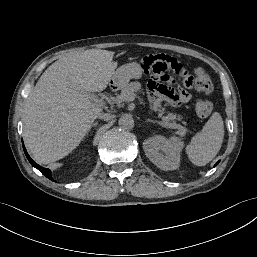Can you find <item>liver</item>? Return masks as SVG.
<instances>
[{
	"mask_svg": "<svg viewBox=\"0 0 257 257\" xmlns=\"http://www.w3.org/2000/svg\"><path fill=\"white\" fill-rule=\"evenodd\" d=\"M114 52L69 53L41 75L25 104L24 140L34 160L55 162L71 153L89 131L102 105L87 95L106 89L117 63Z\"/></svg>",
	"mask_w": 257,
	"mask_h": 257,
	"instance_id": "liver-1",
	"label": "liver"
}]
</instances>
